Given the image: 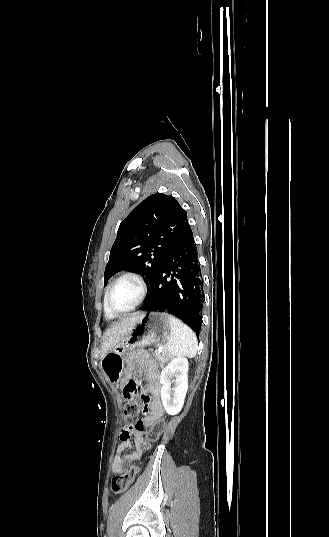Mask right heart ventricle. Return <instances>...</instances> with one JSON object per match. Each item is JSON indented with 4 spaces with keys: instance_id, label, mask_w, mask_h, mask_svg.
I'll list each match as a JSON object with an SVG mask.
<instances>
[{
    "instance_id": "obj_1",
    "label": "right heart ventricle",
    "mask_w": 329,
    "mask_h": 537,
    "mask_svg": "<svg viewBox=\"0 0 329 537\" xmlns=\"http://www.w3.org/2000/svg\"><path fill=\"white\" fill-rule=\"evenodd\" d=\"M106 292H107V290H106ZM106 292H105V294H104V299H103V308H104V312H105V314H106L109 318H113V317H115V315H113V314L107 309V307H106V302H105Z\"/></svg>"
}]
</instances>
